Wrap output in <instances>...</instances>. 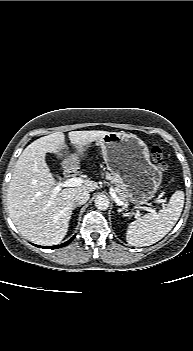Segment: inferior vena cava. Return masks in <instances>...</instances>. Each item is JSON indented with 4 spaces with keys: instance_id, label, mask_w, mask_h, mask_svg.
<instances>
[{
    "instance_id": "inferior-vena-cava-1",
    "label": "inferior vena cava",
    "mask_w": 193,
    "mask_h": 351,
    "mask_svg": "<svg viewBox=\"0 0 193 351\" xmlns=\"http://www.w3.org/2000/svg\"><path fill=\"white\" fill-rule=\"evenodd\" d=\"M90 198V194L88 191H80L75 196V203L78 205L85 204Z\"/></svg>"
}]
</instances>
